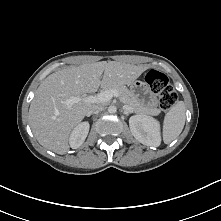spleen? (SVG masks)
<instances>
[{"label":"spleen","instance_id":"obj_1","mask_svg":"<svg viewBox=\"0 0 221 221\" xmlns=\"http://www.w3.org/2000/svg\"><path fill=\"white\" fill-rule=\"evenodd\" d=\"M186 107L183 101H177L167 112L163 125V140L169 144L177 138L185 125Z\"/></svg>","mask_w":221,"mask_h":221}]
</instances>
